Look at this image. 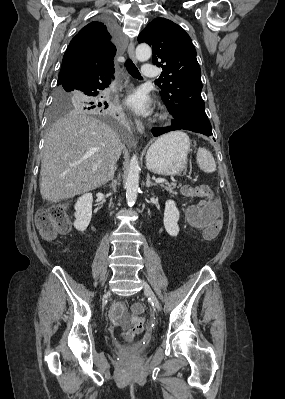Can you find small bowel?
Listing matches in <instances>:
<instances>
[{
    "instance_id": "c3829d8e",
    "label": "small bowel",
    "mask_w": 285,
    "mask_h": 399,
    "mask_svg": "<svg viewBox=\"0 0 285 399\" xmlns=\"http://www.w3.org/2000/svg\"><path fill=\"white\" fill-rule=\"evenodd\" d=\"M208 205H216L217 202L213 200H209L206 202ZM187 220L188 222L195 228H206L211 225L216 215L214 212L207 208H191L187 212ZM124 311V305L120 302H116L110 308L109 317L112 323L115 326H119V322L122 318V314Z\"/></svg>"
}]
</instances>
